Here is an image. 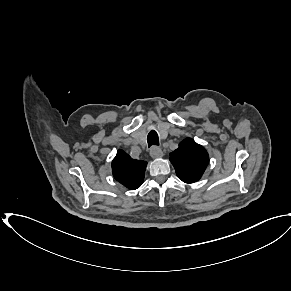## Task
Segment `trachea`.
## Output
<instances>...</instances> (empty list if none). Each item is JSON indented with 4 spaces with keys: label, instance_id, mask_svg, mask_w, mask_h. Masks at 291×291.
I'll list each match as a JSON object with an SVG mask.
<instances>
[{
    "label": "trachea",
    "instance_id": "3493384b",
    "mask_svg": "<svg viewBox=\"0 0 291 291\" xmlns=\"http://www.w3.org/2000/svg\"><path fill=\"white\" fill-rule=\"evenodd\" d=\"M147 142H148L149 147L152 145H156V146L159 145V138L156 131L151 130L149 132L148 137H147Z\"/></svg>",
    "mask_w": 291,
    "mask_h": 291
}]
</instances>
